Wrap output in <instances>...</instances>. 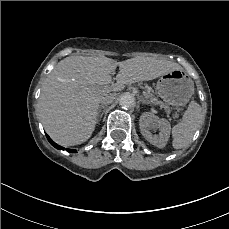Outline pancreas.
Listing matches in <instances>:
<instances>
[{
	"instance_id": "obj_1",
	"label": "pancreas",
	"mask_w": 229,
	"mask_h": 229,
	"mask_svg": "<svg viewBox=\"0 0 229 229\" xmlns=\"http://www.w3.org/2000/svg\"><path fill=\"white\" fill-rule=\"evenodd\" d=\"M144 95H145V99H146V102L148 104H160L161 102L159 100H157L155 97H154V94L150 91V88H147L144 92ZM161 106L162 107H165V108H168L167 105H165L164 103H161Z\"/></svg>"
}]
</instances>
